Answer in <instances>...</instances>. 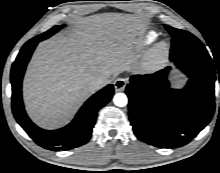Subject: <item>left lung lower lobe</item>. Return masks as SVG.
Masks as SVG:
<instances>
[{
    "label": "left lung lower lobe",
    "mask_w": 220,
    "mask_h": 173,
    "mask_svg": "<svg viewBox=\"0 0 220 173\" xmlns=\"http://www.w3.org/2000/svg\"><path fill=\"white\" fill-rule=\"evenodd\" d=\"M170 60L189 77L184 89L169 90V67L150 75H134L126 87L135 135L160 148L189 143L210 122L215 107L216 74L210 56Z\"/></svg>",
    "instance_id": "left-lung-lower-lobe-1"
}]
</instances>
